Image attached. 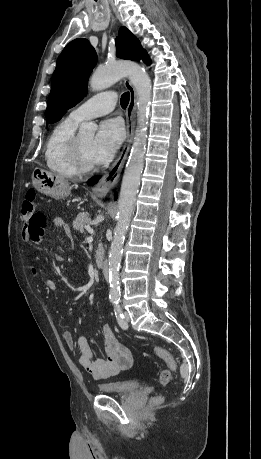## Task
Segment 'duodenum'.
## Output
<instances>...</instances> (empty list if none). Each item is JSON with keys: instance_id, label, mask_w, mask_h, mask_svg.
I'll return each instance as SVG.
<instances>
[{"instance_id": "obj_1", "label": "duodenum", "mask_w": 261, "mask_h": 459, "mask_svg": "<svg viewBox=\"0 0 261 459\" xmlns=\"http://www.w3.org/2000/svg\"><path fill=\"white\" fill-rule=\"evenodd\" d=\"M99 266L103 272L104 277L108 280L109 278V267L108 264L105 261H101L99 263Z\"/></svg>"}]
</instances>
